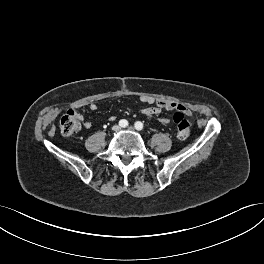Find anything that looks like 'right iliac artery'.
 I'll return each mask as SVG.
<instances>
[{
    "instance_id": "1",
    "label": "right iliac artery",
    "mask_w": 264,
    "mask_h": 264,
    "mask_svg": "<svg viewBox=\"0 0 264 264\" xmlns=\"http://www.w3.org/2000/svg\"><path fill=\"white\" fill-rule=\"evenodd\" d=\"M119 126L122 127V128H125L128 126V121L125 120V119H122L119 121Z\"/></svg>"
}]
</instances>
